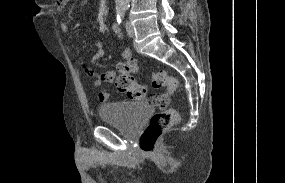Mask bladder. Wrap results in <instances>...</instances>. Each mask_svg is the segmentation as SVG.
Listing matches in <instances>:
<instances>
[{
	"mask_svg": "<svg viewBox=\"0 0 285 183\" xmlns=\"http://www.w3.org/2000/svg\"><path fill=\"white\" fill-rule=\"evenodd\" d=\"M154 109L142 103L113 102L101 105L99 116L101 121L117 125L124 132H134L151 117Z\"/></svg>",
	"mask_w": 285,
	"mask_h": 183,
	"instance_id": "31cf9c89",
	"label": "bladder"
}]
</instances>
